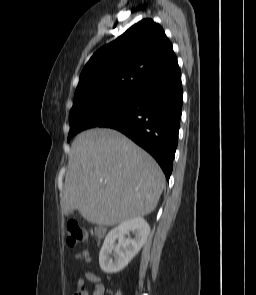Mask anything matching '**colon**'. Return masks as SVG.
<instances>
[{
  "instance_id": "5ec220e1",
  "label": "colon",
  "mask_w": 256,
  "mask_h": 295,
  "mask_svg": "<svg viewBox=\"0 0 256 295\" xmlns=\"http://www.w3.org/2000/svg\"><path fill=\"white\" fill-rule=\"evenodd\" d=\"M86 240V231L82 229L76 222L69 221L66 224V244L71 250H76L77 257L82 260L86 259V255L84 253L78 252V248L81 244L86 242ZM74 295H86L84 286L82 285L79 287Z\"/></svg>"
}]
</instances>
